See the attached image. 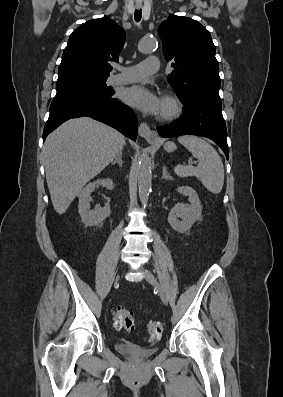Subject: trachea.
Masks as SVG:
<instances>
[{"mask_svg":"<svg viewBox=\"0 0 283 397\" xmlns=\"http://www.w3.org/2000/svg\"><path fill=\"white\" fill-rule=\"evenodd\" d=\"M142 17V10H135L134 18L136 22H139Z\"/></svg>","mask_w":283,"mask_h":397,"instance_id":"1","label":"trachea"}]
</instances>
